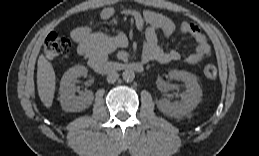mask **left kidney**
Returning a JSON list of instances; mask_svg holds the SVG:
<instances>
[{
    "label": "left kidney",
    "mask_w": 259,
    "mask_h": 156,
    "mask_svg": "<svg viewBox=\"0 0 259 156\" xmlns=\"http://www.w3.org/2000/svg\"><path fill=\"white\" fill-rule=\"evenodd\" d=\"M169 77L183 81L186 90L179 102L172 103L165 98L159 100L157 103L159 110L173 117H180L190 113L197 107L202 97V90L197 82L196 76L186 71L173 70L169 72Z\"/></svg>",
    "instance_id": "1"
}]
</instances>
